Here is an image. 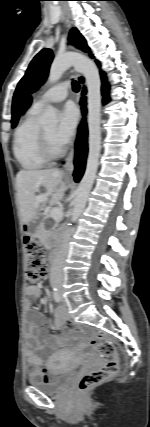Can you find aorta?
I'll list each match as a JSON object with an SVG mask.
<instances>
[{
  "label": "aorta",
  "mask_w": 150,
  "mask_h": 427,
  "mask_svg": "<svg viewBox=\"0 0 150 427\" xmlns=\"http://www.w3.org/2000/svg\"><path fill=\"white\" fill-rule=\"evenodd\" d=\"M73 66L82 73L87 85V122H88V157L84 175L79 183L74 201L71 221L76 222L82 214L96 176L101 150V84L98 70L93 61L79 54L58 55L51 64L48 82H57L63 73ZM46 128H54L58 123L56 110L48 106L40 119Z\"/></svg>",
  "instance_id": "obj_1"
}]
</instances>
